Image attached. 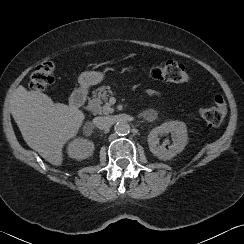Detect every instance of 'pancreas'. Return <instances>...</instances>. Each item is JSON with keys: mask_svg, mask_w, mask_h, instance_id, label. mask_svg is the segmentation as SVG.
<instances>
[{"mask_svg": "<svg viewBox=\"0 0 244 244\" xmlns=\"http://www.w3.org/2000/svg\"><path fill=\"white\" fill-rule=\"evenodd\" d=\"M113 94L110 86H101L94 91L93 99L91 100L94 104V112L97 114H110L114 112L112 106L107 103L108 97ZM104 103V105H102Z\"/></svg>", "mask_w": 244, "mask_h": 244, "instance_id": "cf45deb5", "label": "pancreas"}]
</instances>
